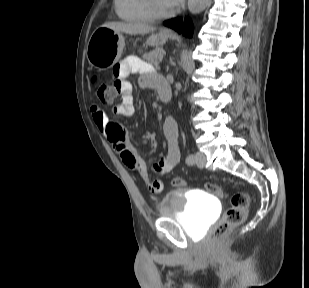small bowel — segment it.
Segmentation results:
<instances>
[{
	"label": "small bowel",
	"mask_w": 309,
	"mask_h": 288,
	"mask_svg": "<svg viewBox=\"0 0 309 288\" xmlns=\"http://www.w3.org/2000/svg\"><path fill=\"white\" fill-rule=\"evenodd\" d=\"M133 72L140 73V84L144 87L158 89L160 83L163 81L161 76L152 72L151 67L147 63L133 56L125 58L113 70L116 78V90L121 95L120 103L113 109L116 115L130 117L135 113L131 85L126 80V77ZM91 112L98 130L120 155L124 165L145 178L155 192H160L163 188L161 180L150 176L146 163L135 148L132 139L125 134L120 124L110 121L100 106H93ZM163 130L167 139L168 148L162 159L153 166V171L157 174H166L172 171L178 166L180 161L178 125L174 117L169 115L165 118Z\"/></svg>",
	"instance_id": "small-bowel-1"
}]
</instances>
